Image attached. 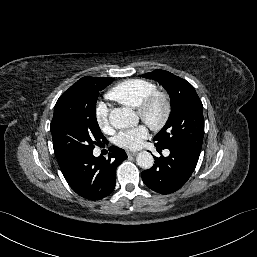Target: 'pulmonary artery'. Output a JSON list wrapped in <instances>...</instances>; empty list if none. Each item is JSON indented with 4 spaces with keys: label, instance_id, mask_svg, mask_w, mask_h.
I'll use <instances>...</instances> for the list:
<instances>
[{
    "label": "pulmonary artery",
    "instance_id": "pulmonary-artery-1",
    "mask_svg": "<svg viewBox=\"0 0 257 257\" xmlns=\"http://www.w3.org/2000/svg\"><path fill=\"white\" fill-rule=\"evenodd\" d=\"M169 154V151L167 150V151H165V155H168Z\"/></svg>",
    "mask_w": 257,
    "mask_h": 257
}]
</instances>
